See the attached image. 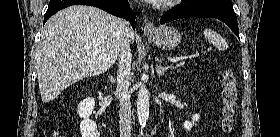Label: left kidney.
I'll list each match as a JSON object with an SVG mask.
<instances>
[{"instance_id":"5707ae66","label":"left kidney","mask_w":280,"mask_h":137,"mask_svg":"<svg viewBox=\"0 0 280 137\" xmlns=\"http://www.w3.org/2000/svg\"><path fill=\"white\" fill-rule=\"evenodd\" d=\"M200 119L199 114H193L192 121H185L183 123V127L185 128L186 131H190L191 128L194 126L196 122Z\"/></svg>"}]
</instances>
